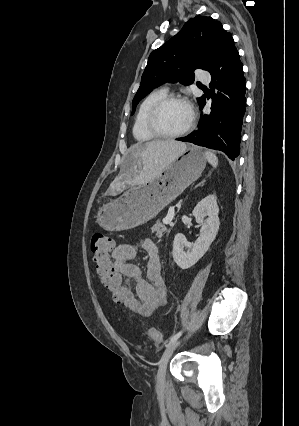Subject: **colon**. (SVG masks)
I'll return each instance as SVG.
<instances>
[{"label":"colon","mask_w":299,"mask_h":426,"mask_svg":"<svg viewBox=\"0 0 299 426\" xmlns=\"http://www.w3.org/2000/svg\"><path fill=\"white\" fill-rule=\"evenodd\" d=\"M113 248L114 242L107 234L97 232L92 236L90 249L100 282L110 293L113 300L122 304L124 300V287L122 278L115 270L111 261ZM148 336L155 344L163 342V334L156 328H150Z\"/></svg>","instance_id":"colon-1"}]
</instances>
